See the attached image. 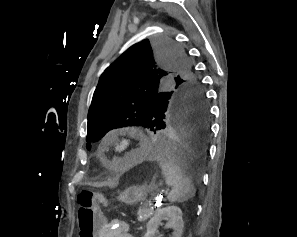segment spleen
<instances>
[{"instance_id":"3e777b00","label":"spleen","mask_w":297,"mask_h":237,"mask_svg":"<svg viewBox=\"0 0 297 237\" xmlns=\"http://www.w3.org/2000/svg\"><path fill=\"white\" fill-rule=\"evenodd\" d=\"M159 165L166 184L171 186L167 197L170 202H184L195 195L191 179L185 175L181 167H178V164L172 160L161 159Z\"/></svg>"}]
</instances>
